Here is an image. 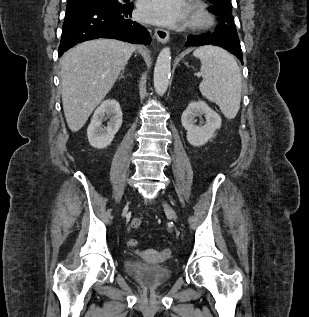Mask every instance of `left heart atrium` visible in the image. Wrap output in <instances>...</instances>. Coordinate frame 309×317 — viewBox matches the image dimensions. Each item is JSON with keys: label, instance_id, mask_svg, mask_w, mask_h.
Segmentation results:
<instances>
[{"label": "left heart atrium", "instance_id": "left-heart-atrium-1", "mask_svg": "<svg viewBox=\"0 0 309 317\" xmlns=\"http://www.w3.org/2000/svg\"><path fill=\"white\" fill-rule=\"evenodd\" d=\"M188 15L186 0H142L138 8L141 20L164 26H178Z\"/></svg>", "mask_w": 309, "mask_h": 317}]
</instances>
